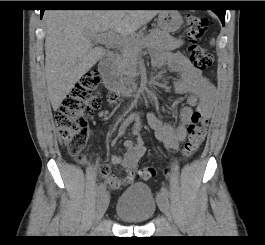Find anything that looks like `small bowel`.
<instances>
[{"label":"small bowel","mask_w":265,"mask_h":245,"mask_svg":"<svg viewBox=\"0 0 265 245\" xmlns=\"http://www.w3.org/2000/svg\"><path fill=\"white\" fill-rule=\"evenodd\" d=\"M152 66L155 68L165 67L167 70L179 75V78L174 80L171 86L173 92L185 97L184 104L180 110L178 124L172 126L164 117L154 112L147 115V121L156 132L160 142L168 149L176 150L186 140L188 128L192 122L193 109L198 105L206 104L212 99L214 87L202 75L201 71L195 68L179 52H170L163 56L152 55ZM109 102L117 104L118 98L113 95L109 98ZM155 105L157 106V103ZM131 107L132 102L128 104V109ZM137 119L138 116L132 115L131 122ZM127 126H120L118 137L124 134ZM133 134L135 136L134 141L130 139L124 141V146L127 150L125 156H111V164L121 165L125 168L126 174L123 177L112 174L108 167L88 164V171L104 179L111 189L116 190L122 186L130 185L135 179V170L145 153V147L138 135V127L135 126L133 128Z\"/></svg>","instance_id":"obj_1"}]
</instances>
